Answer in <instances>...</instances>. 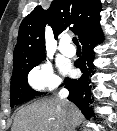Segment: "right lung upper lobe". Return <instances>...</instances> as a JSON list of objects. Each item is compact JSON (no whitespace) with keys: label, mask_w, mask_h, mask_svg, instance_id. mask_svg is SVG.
I'll return each instance as SVG.
<instances>
[{"label":"right lung upper lobe","mask_w":117,"mask_h":131,"mask_svg":"<svg viewBox=\"0 0 117 131\" xmlns=\"http://www.w3.org/2000/svg\"><path fill=\"white\" fill-rule=\"evenodd\" d=\"M100 0H54L48 10L37 6L21 22L13 54V69L45 58V25L55 39L64 30L73 31L81 42L100 30Z\"/></svg>","instance_id":"1"}]
</instances>
